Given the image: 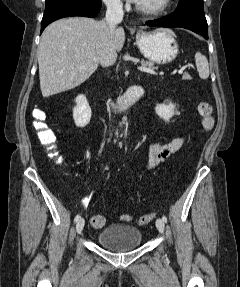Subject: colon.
<instances>
[{
    "label": "colon",
    "mask_w": 240,
    "mask_h": 287,
    "mask_svg": "<svg viewBox=\"0 0 240 287\" xmlns=\"http://www.w3.org/2000/svg\"><path fill=\"white\" fill-rule=\"evenodd\" d=\"M198 113L201 117V124L204 131H210L214 125L213 108L212 105L206 101H200L197 106ZM33 127L37 132V137L41 144L47 146L49 149L55 148L56 136L53 131L45 123L46 115L41 109H34L32 111ZM56 155V154H54ZM155 218L154 213L145 214L136 219L139 224H146ZM122 221H131L133 217L130 215H121ZM91 224L95 228H101L105 224V218L101 215L92 217Z\"/></svg>",
    "instance_id": "1"
}]
</instances>
